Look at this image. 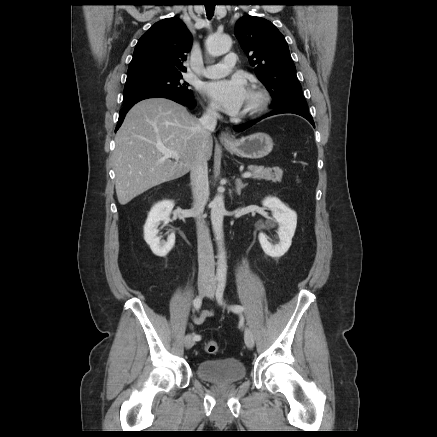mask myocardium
<instances>
[{"instance_id": "myocardium-1", "label": "myocardium", "mask_w": 437, "mask_h": 437, "mask_svg": "<svg viewBox=\"0 0 437 437\" xmlns=\"http://www.w3.org/2000/svg\"><path fill=\"white\" fill-rule=\"evenodd\" d=\"M250 92H252L256 96L257 100L252 107H250L245 112H243L242 114L243 118H253L259 115L266 109V107L269 104V100H270L269 94L261 86L258 85L252 86L250 88Z\"/></svg>"}]
</instances>
